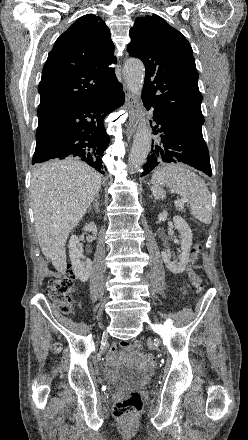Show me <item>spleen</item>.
I'll use <instances>...</instances> for the list:
<instances>
[{
  "mask_svg": "<svg viewBox=\"0 0 248 440\" xmlns=\"http://www.w3.org/2000/svg\"><path fill=\"white\" fill-rule=\"evenodd\" d=\"M151 184L155 199L166 197L161 189V185H165L190 202L191 214L200 223H211V195L204 180L194 172L182 165H165L153 173Z\"/></svg>",
  "mask_w": 248,
  "mask_h": 440,
  "instance_id": "3e777b00",
  "label": "spleen"
}]
</instances>
